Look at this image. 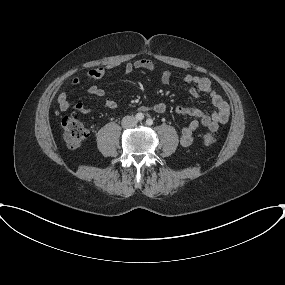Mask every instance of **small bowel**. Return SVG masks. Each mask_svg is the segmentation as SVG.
<instances>
[{"label": "small bowel", "mask_w": 285, "mask_h": 285, "mask_svg": "<svg viewBox=\"0 0 285 285\" xmlns=\"http://www.w3.org/2000/svg\"><path fill=\"white\" fill-rule=\"evenodd\" d=\"M107 69L108 68L91 69L86 73V76L92 80H100L106 74ZM123 70L125 74H131L135 70L154 71L155 64L151 60L140 59L125 64ZM170 80L171 73L169 71H164L161 75V82L166 85L169 84ZM183 81L193 85V87L188 91V95L190 97H198L199 93L207 94L215 107V111L212 114H207L201 109L193 107L179 106L176 108V112L179 115L193 118V120L182 129L180 135L181 145L188 147L193 143L194 132L199 126L205 127L210 131H217L221 124L227 123L229 120L230 109L222 95L212 87V83L209 78L196 75H186L183 78ZM78 83L79 78H74L71 81V85H77ZM88 92L89 94L102 99L105 107L109 109H115L117 107V103L113 99L105 97L104 90L99 88L97 85H91ZM57 102L62 111H66L70 107V101L66 92L59 94ZM74 109L78 112L84 113L89 111L90 107L83 102H78L74 105ZM140 110L144 112L151 110L156 113H164L166 111V104L160 102L151 107L142 106Z\"/></svg>", "instance_id": "obj_1"}]
</instances>
